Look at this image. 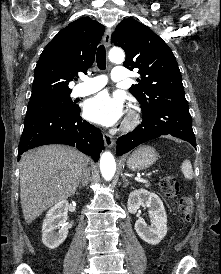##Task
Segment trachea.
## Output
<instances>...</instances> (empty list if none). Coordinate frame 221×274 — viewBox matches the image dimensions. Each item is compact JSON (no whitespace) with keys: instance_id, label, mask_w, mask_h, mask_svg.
Instances as JSON below:
<instances>
[{"instance_id":"1","label":"trachea","mask_w":221,"mask_h":274,"mask_svg":"<svg viewBox=\"0 0 221 274\" xmlns=\"http://www.w3.org/2000/svg\"><path fill=\"white\" fill-rule=\"evenodd\" d=\"M96 62L100 70H104L106 68V50L103 45H100L97 49Z\"/></svg>"}]
</instances>
